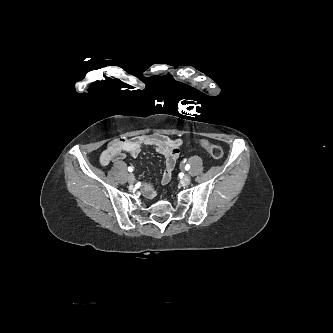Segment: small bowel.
<instances>
[{
  "instance_id": "1",
  "label": "small bowel",
  "mask_w": 333,
  "mask_h": 333,
  "mask_svg": "<svg viewBox=\"0 0 333 333\" xmlns=\"http://www.w3.org/2000/svg\"><path fill=\"white\" fill-rule=\"evenodd\" d=\"M183 141L179 138H170L161 133L140 135L131 139L119 138L111 141L102 151L99 161L102 166L123 159L127 154L136 157L143 147H153L165 157V169L161 175L160 182L167 184L172 177L173 169L180 156ZM142 191L148 198L156 195L155 187L150 182L142 184Z\"/></svg>"
}]
</instances>
